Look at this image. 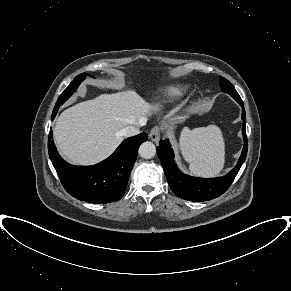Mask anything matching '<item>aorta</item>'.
Here are the masks:
<instances>
[{
    "mask_svg": "<svg viewBox=\"0 0 291 291\" xmlns=\"http://www.w3.org/2000/svg\"><path fill=\"white\" fill-rule=\"evenodd\" d=\"M138 152L142 158L151 159L156 154V147L152 142L146 141L140 145Z\"/></svg>",
    "mask_w": 291,
    "mask_h": 291,
    "instance_id": "obj_1",
    "label": "aorta"
}]
</instances>
